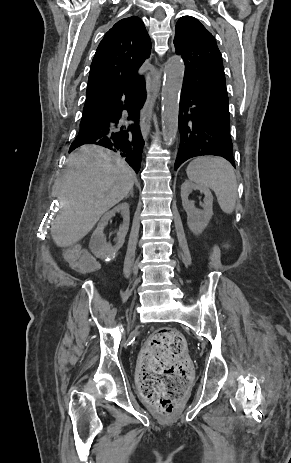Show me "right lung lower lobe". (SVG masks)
<instances>
[{
	"label": "right lung lower lobe",
	"mask_w": 291,
	"mask_h": 463,
	"mask_svg": "<svg viewBox=\"0 0 291 463\" xmlns=\"http://www.w3.org/2000/svg\"><path fill=\"white\" fill-rule=\"evenodd\" d=\"M146 89L127 100L122 107L91 120L82 119L80 130L70 151L84 144H97L120 154L138 173L141 166L144 140L139 126V111L145 102ZM129 113L133 124L121 125L122 111Z\"/></svg>",
	"instance_id": "1"
}]
</instances>
